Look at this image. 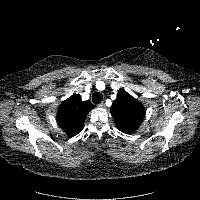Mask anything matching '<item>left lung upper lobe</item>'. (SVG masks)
Masks as SVG:
<instances>
[{
    "instance_id": "5c2ea615",
    "label": "left lung upper lobe",
    "mask_w": 200,
    "mask_h": 200,
    "mask_svg": "<svg viewBox=\"0 0 200 200\" xmlns=\"http://www.w3.org/2000/svg\"><path fill=\"white\" fill-rule=\"evenodd\" d=\"M143 105L124 90L117 93L111 106V114L117 128L126 134L136 131L145 116Z\"/></svg>"
}]
</instances>
